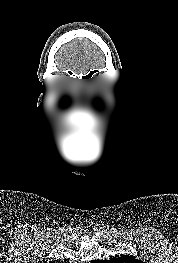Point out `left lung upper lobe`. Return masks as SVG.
Masks as SVG:
<instances>
[{"instance_id": "1", "label": "left lung upper lobe", "mask_w": 178, "mask_h": 263, "mask_svg": "<svg viewBox=\"0 0 178 263\" xmlns=\"http://www.w3.org/2000/svg\"><path fill=\"white\" fill-rule=\"evenodd\" d=\"M91 263H142L141 260H137L129 255H123L120 257H113L111 260H92Z\"/></svg>"}]
</instances>
